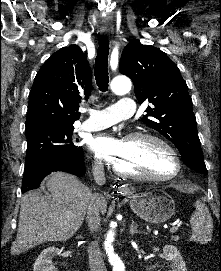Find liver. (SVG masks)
<instances>
[{
    "label": "liver",
    "mask_w": 221,
    "mask_h": 271,
    "mask_svg": "<svg viewBox=\"0 0 221 271\" xmlns=\"http://www.w3.org/2000/svg\"><path fill=\"white\" fill-rule=\"evenodd\" d=\"M50 197L41 191H26L20 201L18 231L10 247L19 255L43 241H67L79 229L86 215L91 189L76 175L53 171L45 181ZM101 213L107 211L103 195L98 199Z\"/></svg>",
    "instance_id": "liver-1"
}]
</instances>
